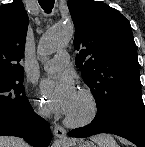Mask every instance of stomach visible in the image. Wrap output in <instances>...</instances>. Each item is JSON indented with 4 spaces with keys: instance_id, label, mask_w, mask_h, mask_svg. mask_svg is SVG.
Here are the masks:
<instances>
[{
    "instance_id": "stomach-1",
    "label": "stomach",
    "mask_w": 145,
    "mask_h": 147,
    "mask_svg": "<svg viewBox=\"0 0 145 147\" xmlns=\"http://www.w3.org/2000/svg\"><path fill=\"white\" fill-rule=\"evenodd\" d=\"M71 147H95L93 143L88 141H82L76 146L75 144L71 145Z\"/></svg>"
}]
</instances>
